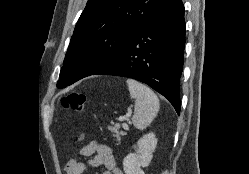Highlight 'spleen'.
Here are the masks:
<instances>
[{
    "mask_svg": "<svg viewBox=\"0 0 249 174\" xmlns=\"http://www.w3.org/2000/svg\"><path fill=\"white\" fill-rule=\"evenodd\" d=\"M130 97L135 99L134 115L132 122L140 130L145 129L156 117L160 103L156 94L146 85L128 79Z\"/></svg>",
    "mask_w": 249,
    "mask_h": 174,
    "instance_id": "obj_1",
    "label": "spleen"
}]
</instances>
